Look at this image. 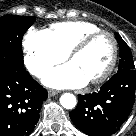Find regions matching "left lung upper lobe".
<instances>
[{
    "label": "left lung upper lobe",
    "mask_w": 136,
    "mask_h": 136,
    "mask_svg": "<svg viewBox=\"0 0 136 136\" xmlns=\"http://www.w3.org/2000/svg\"><path fill=\"white\" fill-rule=\"evenodd\" d=\"M115 37L118 41L120 48V61L118 66V72L127 71V70H135L133 57L128 45L121 38L118 33H115Z\"/></svg>",
    "instance_id": "obj_1"
}]
</instances>
